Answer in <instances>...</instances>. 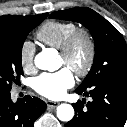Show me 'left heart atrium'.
Masks as SVG:
<instances>
[{"label": "left heart atrium", "instance_id": "obj_1", "mask_svg": "<svg viewBox=\"0 0 127 127\" xmlns=\"http://www.w3.org/2000/svg\"><path fill=\"white\" fill-rule=\"evenodd\" d=\"M74 76L70 69L63 68L53 73H43L33 81V87L37 93L49 98L59 99L66 90L74 85Z\"/></svg>", "mask_w": 127, "mask_h": 127}]
</instances>
